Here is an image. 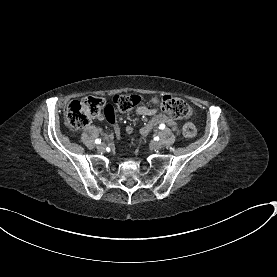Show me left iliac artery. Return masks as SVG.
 <instances>
[{"instance_id":"1","label":"left iliac artery","mask_w":277,"mask_h":277,"mask_svg":"<svg viewBox=\"0 0 277 277\" xmlns=\"http://www.w3.org/2000/svg\"><path fill=\"white\" fill-rule=\"evenodd\" d=\"M159 128H160L161 130L165 129V124H160Z\"/></svg>"}]
</instances>
